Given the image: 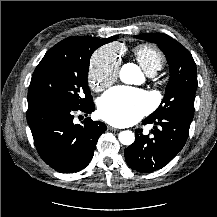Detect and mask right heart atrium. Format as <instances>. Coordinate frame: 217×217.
<instances>
[{
    "label": "right heart atrium",
    "mask_w": 217,
    "mask_h": 217,
    "mask_svg": "<svg viewBox=\"0 0 217 217\" xmlns=\"http://www.w3.org/2000/svg\"><path fill=\"white\" fill-rule=\"evenodd\" d=\"M120 65L119 53L115 46L106 45L92 55L88 70V81L96 91H103L117 79Z\"/></svg>",
    "instance_id": "right-heart-atrium-1"
}]
</instances>
